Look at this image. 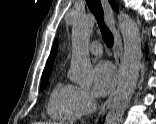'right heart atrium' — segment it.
<instances>
[{
	"mask_svg": "<svg viewBox=\"0 0 156 124\" xmlns=\"http://www.w3.org/2000/svg\"><path fill=\"white\" fill-rule=\"evenodd\" d=\"M94 107V95L87 88L77 87L74 96V111L76 117L87 115Z\"/></svg>",
	"mask_w": 156,
	"mask_h": 124,
	"instance_id": "1",
	"label": "right heart atrium"
}]
</instances>
